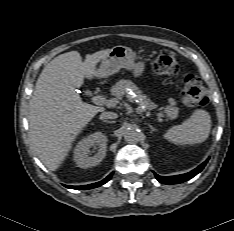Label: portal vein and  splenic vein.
I'll return each mask as SVG.
<instances>
[{
    "instance_id": "portal-vein-and-splenic-vein-1",
    "label": "portal vein and splenic vein",
    "mask_w": 234,
    "mask_h": 231,
    "mask_svg": "<svg viewBox=\"0 0 234 231\" xmlns=\"http://www.w3.org/2000/svg\"><path fill=\"white\" fill-rule=\"evenodd\" d=\"M92 102L95 103L96 105H108L109 104L108 100L105 99L103 96L92 97ZM156 115L158 118L164 117V115L161 113H157Z\"/></svg>"
}]
</instances>
